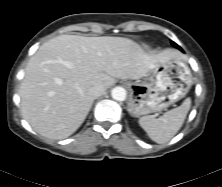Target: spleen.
Returning a JSON list of instances; mask_svg holds the SVG:
<instances>
[{
	"label": "spleen",
	"instance_id": "1",
	"mask_svg": "<svg viewBox=\"0 0 222 187\" xmlns=\"http://www.w3.org/2000/svg\"><path fill=\"white\" fill-rule=\"evenodd\" d=\"M190 106L191 99L187 98L179 107L164 113L159 118L151 115L141 117L139 124L151 140L158 144L166 143L182 127Z\"/></svg>",
	"mask_w": 222,
	"mask_h": 187
}]
</instances>
